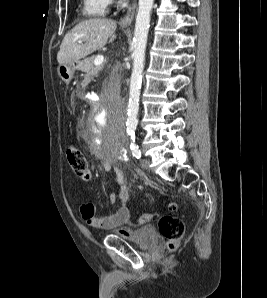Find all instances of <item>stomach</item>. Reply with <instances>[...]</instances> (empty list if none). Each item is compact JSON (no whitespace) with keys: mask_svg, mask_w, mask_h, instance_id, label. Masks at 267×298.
Masks as SVG:
<instances>
[{"mask_svg":"<svg viewBox=\"0 0 267 298\" xmlns=\"http://www.w3.org/2000/svg\"><path fill=\"white\" fill-rule=\"evenodd\" d=\"M79 65V61H73L67 64L59 65L57 69L59 77L64 82L69 83L72 80L76 69L79 68Z\"/></svg>","mask_w":267,"mask_h":298,"instance_id":"obj_1","label":"stomach"}]
</instances>
